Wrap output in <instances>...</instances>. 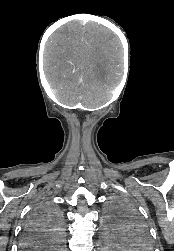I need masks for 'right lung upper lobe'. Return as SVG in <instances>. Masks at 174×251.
<instances>
[{"label":"right lung upper lobe","mask_w":174,"mask_h":251,"mask_svg":"<svg viewBox=\"0 0 174 251\" xmlns=\"http://www.w3.org/2000/svg\"><path fill=\"white\" fill-rule=\"evenodd\" d=\"M26 241L23 242L22 248L25 250H39L44 248L47 242H43L39 239V236L35 232H30L29 235L26 236Z\"/></svg>","instance_id":"1"}]
</instances>
